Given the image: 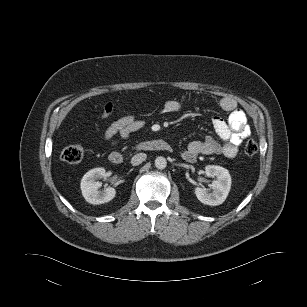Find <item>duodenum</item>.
<instances>
[{
    "instance_id": "duodenum-1",
    "label": "duodenum",
    "mask_w": 307,
    "mask_h": 307,
    "mask_svg": "<svg viewBox=\"0 0 307 307\" xmlns=\"http://www.w3.org/2000/svg\"><path fill=\"white\" fill-rule=\"evenodd\" d=\"M170 145L161 139L146 140L136 144L132 151L134 152H153V151H169ZM110 163L114 166H120L124 162V155L120 152H111L108 157Z\"/></svg>"
}]
</instances>
